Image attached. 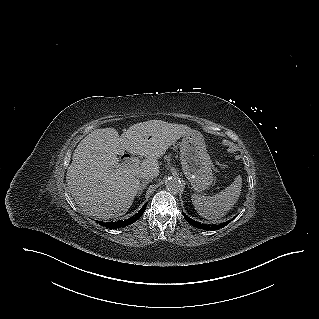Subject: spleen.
<instances>
[{
    "label": "spleen",
    "mask_w": 319,
    "mask_h": 319,
    "mask_svg": "<svg viewBox=\"0 0 319 319\" xmlns=\"http://www.w3.org/2000/svg\"><path fill=\"white\" fill-rule=\"evenodd\" d=\"M242 178L237 176L232 184L213 196L193 194L192 203L197 213L205 219L218 221L236 204L241 193Z\"/></svg>",
    "instance_id": "spleen-1"
}]
</instances>
